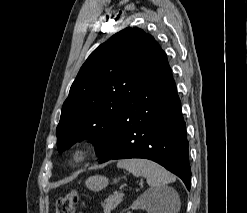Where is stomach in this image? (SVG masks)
Listing matches in <instances>:
<instances>
[{
  "label": "stomach",
  "instance_id": "obj_1",
  "mask_svg": "<svg viewBox=\"0 0 247 213\" xmlns=\"http://www.w3.org/2000/svg\"><path fill=\"white\" fill-rule=\"evenodd\" d=\"M114 182H117V179H115ZM108 183V178L102 175L91 176L85 182L87 188L94 192L102 190L108 185Z\"/></svg>",
  "mask_w": 247,
  "mask_h": 213
}]
</instances>
